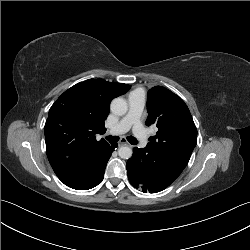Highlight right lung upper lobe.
<instances>
[{"label":"right lung upper lobe","mask_w":250,"mask_h":250,"mask_svg":"<svg viewBox=\"0 0 250 250\" xmlns=\"http://www.w3.org/2000/svg\"><path fill=\"white\" fill-rule=\"evenodd\" d=\"M130 89L129 85L89 79L65 91L49 110L45 124L48 160L67 186L81 189L95 176L103 149L109 144L96 140L106 131L110 102Z\"/></svg>","instance_id":"right-lung-upper-lobe-1"}]
</instances>
